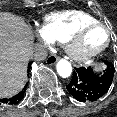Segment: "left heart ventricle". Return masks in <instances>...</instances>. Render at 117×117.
Segmentation results:
<instances>
[{"instance_id":"obj_1","label":"left heart ventricle","mask_w":117,"mask_h":117,"mask_svg":"<svg viewBox=\"0 0 117 117\" xmlns=\"http://www.w3.org/2000/svg\"><path fill=\"white\" fill-rule=\"evenodd\" d=\"M107 38L106 30L100 27L87 31L79 41V48L82 50H93L101 47Z\"/></svg>"}]
</instances>
